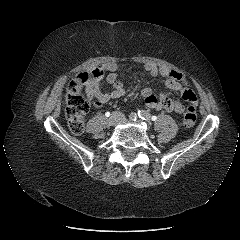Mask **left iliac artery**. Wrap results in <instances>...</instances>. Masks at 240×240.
I'll use <instances>...</instances> for the list:
<instances>
[{
	"mask_svg": "<svg viewBox=\"0 0 240 240\" xmlns=\"http://www.w3.org/2000/svg\"><path fill=\"white\" fill-rule=\"evenodd\" d=\"M138 116L144 121L150 120V114L147 111L144 110L138 111Z\"/></svg>",
	"mask_w": 240,
	"mask_h": 240,
	"instance_id": "44dca946",
	"label": "left iliac artery"
}]
</instances>
